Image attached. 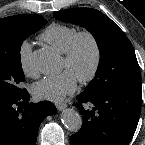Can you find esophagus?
Segmentation results:
<instances>
[{"mask_svg": "<svg viewBox=\"0 0 145 145\" xmlns=\"http://www.w3.org/2000/svg\"><path fill=\"white\" fill-rule=\"evenodd\" d=\"M55 105H56V108H57L59 111L65 109L66 106H67L65 103H61V102L55 103Z\"/></svg>", "mask_w": 145, "mask_h": 145, "instance_id": "1", "label": "esophagus"}]
</instances>
